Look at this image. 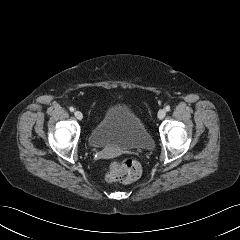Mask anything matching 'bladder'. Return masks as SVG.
Masks as SVG:
<instances>
[{
  "instance_id": "obj_1",
  "label": "bladder",
  "mask_w": 240,
  "mask_h": 240,
  "mask_svg": "<svg viewBox=\"0 0 240 240\" xmlns=\"http://www.w3.org/2000/svg\"><path fill=\"white\" fill-rule=\"evenodd\" d=\"M93 148L112 147L120 150H149L153 138L142 119L128 106L110 107L88 136Z\"/></svg>"
}]
</instances>
